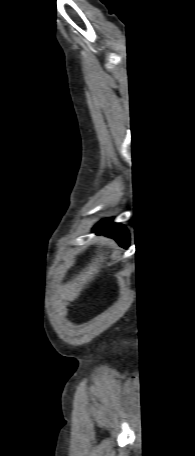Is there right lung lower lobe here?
<instances>
[{"label":"right lung lower lobe","instance_id":"1","mask_svg":"<svg viewBox=\"0 0 195 456\" xmlns=\"http://www.w3.org/2000/svg\"><path fill=\"white\" fill-rule=\"evenodd\" d=\"M94 231L116 239L123 247L129 246V233L126 228L109 219L101 221L94 227Z\"/></svg>","mask_w":195,"mask_h":456}]
</instances>
